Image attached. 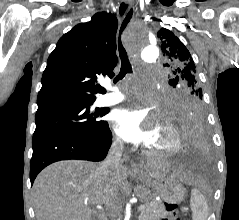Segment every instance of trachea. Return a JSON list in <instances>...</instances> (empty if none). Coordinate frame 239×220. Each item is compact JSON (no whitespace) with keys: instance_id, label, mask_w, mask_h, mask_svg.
Returning <instances> with one entry per match:
<instances>
[{"instance_id":"trachea-1","label":"trachea","mask_w":239,"mask_h":220,"mask_svg":"<svg viewBox=\"0 0 239 220\" xmlns=\"http://www.w3.org/2000/svg\"><path fill=\"white\" fill-rule=\"evenodd\" d=\"M132 15H133V10L131 8L122 23V26L120 28V35H121L122 31L125 29V27L127 26V24L129 23L130 19L132 18ZM118 49H119V55H120V59H121V69H120L119 74L115 77L114 83L118 82L123 77H125V75L127 73H132V67L129 62L127 52L121 43L120 37H119V41H118Z\"/></svg>"}]
</instances>
